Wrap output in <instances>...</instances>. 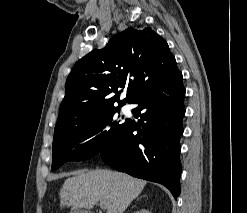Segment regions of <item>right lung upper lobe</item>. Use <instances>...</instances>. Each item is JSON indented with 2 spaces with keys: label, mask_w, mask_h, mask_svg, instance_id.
<instances>
[{
  "label": "right lung upper lobe",
  "mask_w": 247,
  "mask_h": 213,
  "mask_svg": "<svg viewBox=\"0 0 247 213\" xmlns=\"http://www.w3.org/2000/svg\"><path fill=\"white\" fill-rule=\"evenodd\" d=\"M176 67L167 42L151 28L126 29L113 36L105 48L93 50L69 74L54 136L88 123L124 105L145 86ZM127 87L119 100L120 88Z\"/></svg>",
  "instance_id": "cb5924a9"
}]
</instances>
